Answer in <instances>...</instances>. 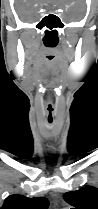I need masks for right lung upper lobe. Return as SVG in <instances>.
<instances>
[{
    "mask_svg": "<svg viewBox=\"0 0 98 209\" xmlns=\"http://www.w3.org/2000/svg\"><path fill=\"white\" fill-rule=\"evenodd\" d=\"M49 201L46 198H27L23 195H10L5 199L0 209H47Z\"/></svg>",
    "mask_w": 98,
    "mask_h": 209,
    "instance_id": "obj_1",
    "label": "right lung upper lobe"
}]
</instances>
